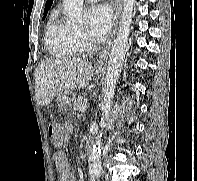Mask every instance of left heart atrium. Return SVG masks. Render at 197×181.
I'll return each instance as SVG.
<instances>
[{"label":"left heart atrium","instance_id":"1","mask_svg":"<svg viewBox=\"0 0 197 181\" xmlns=\"http://www.w3.org/2000/svg\"><path fill=\"white\" fill-rule=\"evenodd\" d=\"M88 33L96 41L108 34L112 24V11L105 4L91 6L87 11Z\"/></svg>","mask_w":197,"mask_h":181}]
</instances>
